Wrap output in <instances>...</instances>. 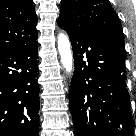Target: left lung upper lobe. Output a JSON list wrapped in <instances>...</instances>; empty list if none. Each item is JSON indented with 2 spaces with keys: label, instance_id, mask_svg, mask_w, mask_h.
Masks as SVG:
<instances>
[{
  "label": "left lung upper lobe",
  "instance_id": "obj_1",
  "mask_svg": "<svg viewBox=\"0 0 136 136\" xmlns=\"http://www.w3.org/2000/svg\"><path fill=\"white\" fill-rule=\"evenodd\" d=\"M58 25L73 32H89L123 41L121 22L107 0H62Z\"/></svg>",
  "mask_w": 136,
  "mask_h": 136
}]
</instances>
